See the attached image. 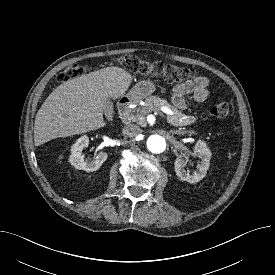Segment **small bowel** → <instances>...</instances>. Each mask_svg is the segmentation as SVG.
Masks as SVG:
<instances>
[{"instance_id": "obj_1", "label": "small bowel", "mask_w": 275, "mask_h": 275, "mask_svg": "<svg viewBox=\"0 0 275 275\" xmlns=\"http://www.w3.org/2000/svg\"><path fill=\"white\" fill-rule=\"evenodd\" d=\"M186 95H190L196 102L205 101L209 95L207 78L199 76L173 87L172 101L178 109L187 107Z\"/></svg>"}]
</instances>
